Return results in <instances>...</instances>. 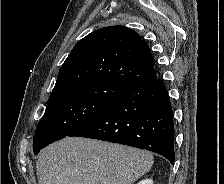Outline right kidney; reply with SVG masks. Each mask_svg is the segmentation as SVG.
<instances>
[{"label":"right kidney","instance_id":"1","mask_svg":"<svg viewBox=\"0 0 224 184\" xmlns=\"http://www.w3.org/2000/svg\"><path fill=\"white\" fill-rule=\"evenodd\" d=\"M137 184H154L152 179H144Z\"/></svg>","mask_w":224,"mask_h":184}]
</instances>
